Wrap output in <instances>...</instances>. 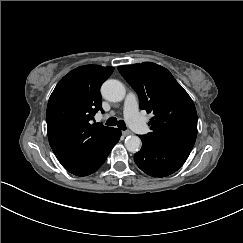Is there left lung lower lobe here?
Here are the masks:
<instances>
[{"label":"left lung lower lobe","mask_w":243,"mask_h":243,"mask_svg":"<svg viewBox=\"0 0 243 243\" xmlns=\"http://www.w3.org/2000/svg\"><path fill=\"white\" fill-rule=\"evenodd\" d=\"M142 140V148L134 155L137 166L153 177H165L177 171L188 158L190 151L176 149L155 141Z\"/></svg>","instance_id":"1"}]
</instances>
